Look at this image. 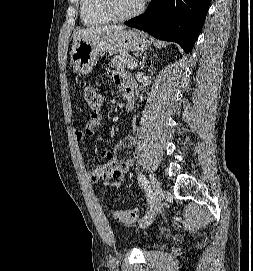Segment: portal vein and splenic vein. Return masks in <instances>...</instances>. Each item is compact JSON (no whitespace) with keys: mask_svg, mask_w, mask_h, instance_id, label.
Segmentation results:
<instances>
[{"mask_svg":"<svg viewBox=\"0 0 253 271\" xmlns=\"http://www.w3.org/2000/svg\"><path fill=\"white\" fill-rule=\"evenodd\" d=\"M136 67H137V62H135V61L128 65V69H134Z\"/></svg>","mask_w":253,"mask_h":271,"instance_id":"portal-vein-and-splenic-vein-1","label":"portal vein and splenic vein"}]
</instances>
